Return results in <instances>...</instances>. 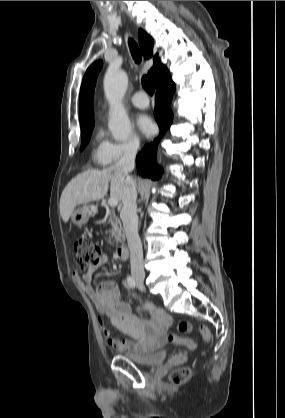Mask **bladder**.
<instances>
[{
  "instance_id": "bladder-1",
  "label": "bladder",
  "mask_w": 285,
  "mask_h": 418,
  "mask_svg": "<svg viewBox=\"0 0 285 418\" xmlns=\"http://www.w3.org/2000/svg\"><path fill=\"white\" fill-rule=\"evenodd\" d=\"M132 362L142 366L155 365L163 363L167 357V353L162 349H156L153 351L147 352H137L132 350H127L123 354Z\"/></svg>"
}]
</instances>
